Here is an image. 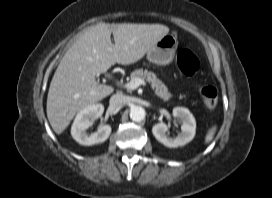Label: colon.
<instances>
[{
    "label": "colon",
    "instance_id": "1",
    "mask_svg": "<svg viewBox=\"0 0 272 198\" xmlns=\"http://www.w3.org/2000/svg\"><path fill=\"white\" fill-rule=\"evenodd\" d=\"M177 64L185 75H194L199 69V60L189 49L182 48L177 53ZM200 97L204 106L213 109L218 102L217 90L213 86H204L200 89Z\"/></svg>",
    "mask_w": 272,
    "mask_h": 198
}]
</instances>
